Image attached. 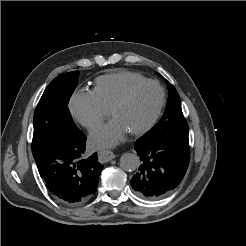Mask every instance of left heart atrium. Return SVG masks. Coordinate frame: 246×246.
Returning <instances> with one entry per match:
<instances>
[{
  "label": "left heart atrium",
  "mask_w": 246,
  "mask_h": 246,
  "mask_svg": "<svg viewBox=\"0 0 246 246\" xmlns=\"http://www.w3.org/2000/svg\"><path fill=\"white\" fill-rule=\"evenodd\" d=\"M126 131L122 123L113 118L91 134L90 142L96 148L111 147L122 139Z\"/></svg>",
  "instance_id": "1"
}]
</instances>
